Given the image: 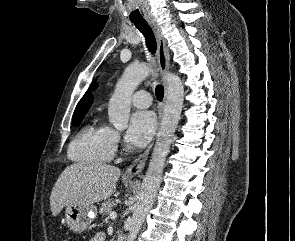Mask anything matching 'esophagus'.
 <instances>
[{"label":"esophagus","instance_id":"esophagus-1","mask_svg":"<svg viewBox=\"0 0 295 241\" xmlns=\"http://www.w3.org/2000/svg\"><path fill=\"white\" fill-rule=\"evenodd\" d=\"M148 23L153 29L156 41H157V57L159 67L163 76V82L165 86V95L162 103L159 105L158 115H159V122L162 117V113L164 110L166 98H167V83H166V75L169 72L171 65H170V57L167 48V43L165 38L162 35L161 29L159 25L156 23L154 19H148ZM154 142H152L148 148L139 155V157L127 168L125 171L124 176L128 178L135 177L136 175L140 174L146 165V161L148 159L149 153L153 147Z\"/></svg>","mask_w":295,"mask_h":241}]
</instances>
